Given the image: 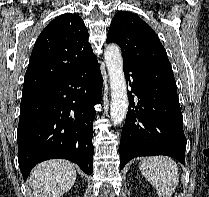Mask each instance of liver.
<instances>
[{
	"label": "liver",
	"instance_id": "liver-1",
	"mask_svg": "<svg viewBox=\"0 0 209 197\" xmlns=\"http://www.w3.org/2000/svg\"><path fill=\"white\" fill-rule=\"evenodd\" d=\"M76 176L73 163L54 159L38 164L32 170L28 183L34 197H61L74 185Z\"/></svg>",
	"mask_w": 209,
	"mask_h": 197
}]
</instances>
